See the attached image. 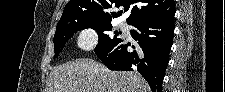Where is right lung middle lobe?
Segmentation results:
<instances>
[{
  "mask_svg": "<svg viewBox=\"0 0 225 92\" xmlns=\"http://www.w3.org/2000/svg\"><path fill=\"white\" fill-rule=\"evenodd\" d=\"M86 28H92L96 30L99 35V42L95 48V51L104 50L110 45L121 40L117 38V31L114 32L116 33L114 37H109L108 34L102 33L104 31H110L112 29V25L110 22H90L87 20H80L71 23L69 26L56 28V33L53 38L55 57H57L58 54L63 50L66 41L69 40L75 32Z\"/></svg>",
  "mask_w": 225,
  "mask_h": 92,
  "instance_id": "dd1d6c3e",
  "label": "right lung middle lobe"
}]
</instances>
